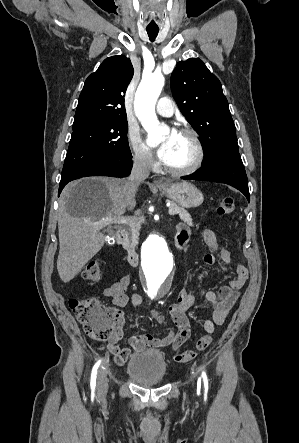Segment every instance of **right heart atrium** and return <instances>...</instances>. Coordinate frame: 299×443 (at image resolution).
Instances as JSON below:
<instances>
[{
    "label": "right heart atrium",
    "mask_w": 299,
    "mask_h": 443,
    "mask_svg": "<svg viewBox=\"0 0 299 443\" xmlns=\"http://www.w3.org/2000/svg\"><path fill=\"white\" fill-rule=\"evenodd\" d=\"M127 137L134 163L142 169L152 168L154 166L153 156L143 144L138 131L135 129H129Z\"/></svg>",
    "instance_id": "1"
}]
</instances>
